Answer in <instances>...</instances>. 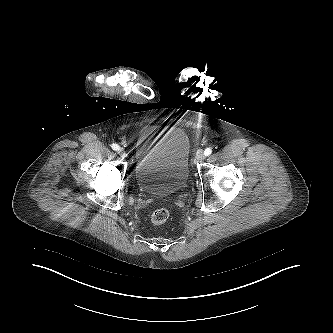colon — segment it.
<instances>
[{"instance_id":"colon-1","label":"colon","mask_w":333,"mask_h":333,"mask_svg":"<svg viewBox=\"0 0 333 333\" xmlns=\"http://www.w3.org/2000/svg\"><path fill=\"white\" fill-rule=\"evenodd\" d=\"M168 217H169V211L166 208L161 207L154 210V212L151 215V221L155 225H160L165 223Z\"/></svg>"}]
</instances>
